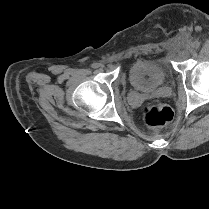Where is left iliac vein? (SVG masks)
<instances>
[{
  "instance_id": "1",
  "label": "left iliac vein",
  "mask_w": 209,
  "mask_h": 209,
  "mask_svg": "<svg viewBox=\"0 0 209 209\" xmlns=\"http://www.w3.org/2000/svg\"><path fill=\"white\" fill-rule=\"evenodd\" d=\"M188 51H189L190 53H192V52H193L192 48H189V49H188Z\"/></svg>"
}]
</instances>
